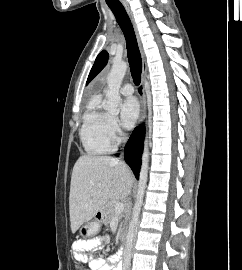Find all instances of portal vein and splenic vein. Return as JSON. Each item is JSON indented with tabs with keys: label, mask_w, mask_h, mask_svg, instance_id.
Masks as SVG:
<instances>
[{
	"label": "portal vein and splenic vein",
	"mask_w": 242,
	"mask_h": 270,
	"mask_svg": "<svg viewBox=\"0 0 242 270\" xmlns=\"http://www.w3.org/2000/svg\"><path fill=\"white\" fill-rule=\"evenodd\" d=\"M101 184H99L100 186ZM114 209L117 214H121L124 211V204L122 202H115Z\"/></svg>",
	"instance_id": "obj_1"
}]
</instances>
